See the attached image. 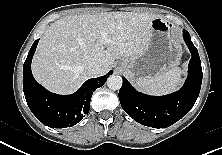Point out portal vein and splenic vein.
I'll return each instance as SVG.
<instances>
[{"mask_svg":"<svg viewBox=\"0 0 222 155\" xmlns=\"http://www.w3.org/2000/svg\"><path fill=\"white\" fill-rule=\"evenodd\" d=\"M100 35H101L100 43L106 44L108 42V32L106 30H101Z\"/></svg>","mask_w":222,"mask_h":155,"instance_id":"1","label":"portal vein and splenic vein"}]
</instances>
